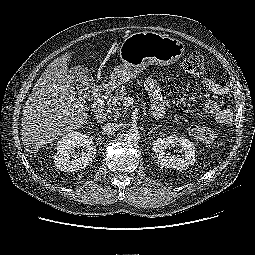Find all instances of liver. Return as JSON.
I'll use <instances>...</instances> for the list:
<instances>
[{"label": "liver", "mask_w": 255, "mask_h": 255, "mask_svg": "<svg viewBox=\"0 0 255 255\" xmlns=\"http://www.w3.org/2000/svg\"><path fill=\"white\" fill-rule=\"evenodd\" d=\"M72 53L61 55L47 66L25 103L21 135L28 153L37 152L88 121L86 101L69 80L68 63Z\"/></svg>", "instance_id": "6515ba94"}]
</instances>
